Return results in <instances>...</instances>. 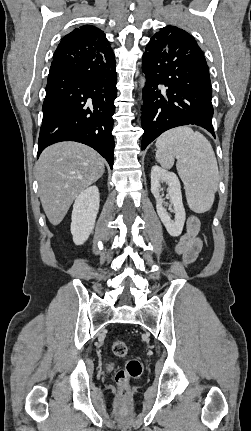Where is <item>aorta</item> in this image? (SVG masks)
I'll list each match as a JSON object with an SVG mask.
<instances>
[{"instance_id":"obj_1","label":"aorta","mask_w":251,"mask_h":431,"mask_svg":"<svg viewBox=\"0 0 251 431\" xmlns=\"http://www.w3.org/2000/svg\"><path fill=\"white\" fill-rule=\"evenodd\" d=\"M145 82H146V78H145V76L143 75V76H141L140 77V88L142 89V88H144V86H145Z\"/></svg>"}]
</instances>
